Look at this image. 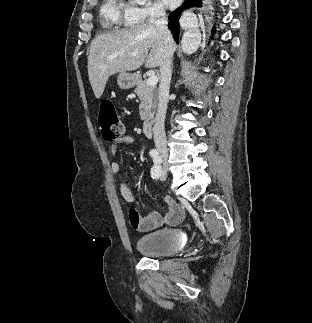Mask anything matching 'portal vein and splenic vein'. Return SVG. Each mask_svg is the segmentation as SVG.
<instances>
[{
  "mask_svg": "<svg viewBox=\"0 0 312 323\" xmlns=\"http://www.w3.org/2000/svg\"><path fill=\"white\" fill-rule=\"evenodd\" d=\"M133 56H136V54H133ZM158 82L157 76H150L149 80H147L148 86H156Z\"/></svg>",
  "mask_w": 312,
  "mask_h": 323,
  "instance_id": "18ae733b",
  "label": "portal vein and splenic vein"
}]
</instances>
